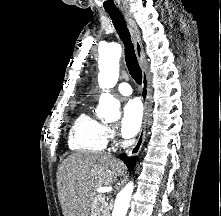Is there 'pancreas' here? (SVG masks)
Listing matches in <instances>:
<instances>
[{
    "instance_id": "cf45deb5",
    "label": "pancreas",
    "mask_w": 221,
    "mask_h": 216,
    "mask_svg": "<svg viewBox=\"0 0 221 216\" xmlns=\"http://www.w3.org/2000/svg\"><path fill=\"white\" fill-rule=\"evenodd\" d=\"M90 216H110L109 206L101 196L94 198Z\"/></svg>"
}]
</instances>
